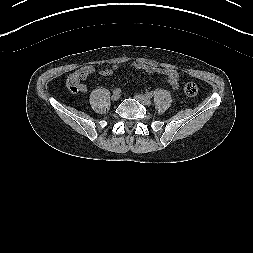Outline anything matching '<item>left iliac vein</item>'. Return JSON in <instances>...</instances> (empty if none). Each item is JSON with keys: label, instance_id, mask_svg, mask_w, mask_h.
I'll list each match as a JSON object with an SVG mask.
<instances>
[{"label": "left iliac vein", "instance_id": "4c4485c4", "mask_svg": "<svg viewBox=\"0 0 253 253\" xmlns=\"http://www.w3.org/2000/svg\"><path fill=\"white\" fill-rule=\"evenodd\" d=\"M135 98L142 102V103H146V104H149L150 103V99L149 97L145 96V95H142V94H136L135 95Z\"/></svg>", "mask_w": 253, "mask_h": 253}]
</instances>
